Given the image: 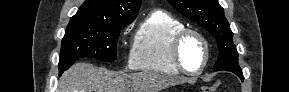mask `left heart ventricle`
Masks as SVG:
<instances>
[{"mask_svg":"<svg viewBox=\"0 0 289 92\" xmlns=\"http://www.w3.org/2000/svg\"><path fill=\"white\" fill-rule=\"evenodd\" d=\"M180 55L183 65L188 70L199 69L204 59L202 42L195 36H188L181 46Z\"/></svg>","mask_w":289,"mask_h":92,"instance_id":"1","label":"left heart ventricle"}]
</instances>
